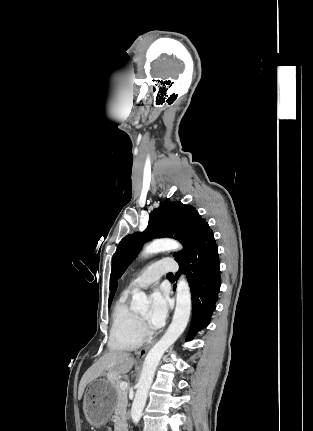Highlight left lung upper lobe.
Returning a JSON list of instances; mask_svg holds the SVG:
<instances>
[{
  "mask_svg": "<svg viewBox=\"0 0 313 431\" xmlns=\"http://www.w3.org/2000/svg\"><path fill=\"white\" fill-rule=\"evenodd\" d=\"M208 226L193 206L178 201L164 202L149 215V223L143 233L124 237L113 255L110 283L126 270L141 250L143 243L153 238L172 237L182 243L184 249L174 253L179 263L194 249L201 233Z\"/></svg>",
  "mask_w": 313,
  "mask_h": 431,
  "instance_id": "left-lung-upper-lobe-1",
  "label": "left lung upper lobe"
}]
</instances>
